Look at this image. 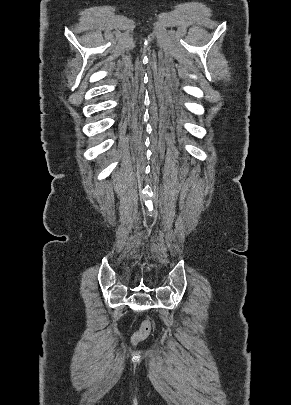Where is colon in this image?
Returning a JSON list of instances; mask_svg holds the SVG:
<instances>
[{
	"mask_svg": "<svg viewBox=\"0 0 291 405\" xmlns=\"http://www.w3.org/2000/svg\"><path fill=\"white\" fill-rule=\"evenodd\" d=\"M152 331V324L150 320H145L142 322L139 330L135 333V335L132 338V343L134 345H137L138 343L146 340Z\"/></svg>",
	"mask_w": 291,
	"mask_h": 405,
	"instance_id": "colon-1",
	"label": "colon"
}]
</instances>
